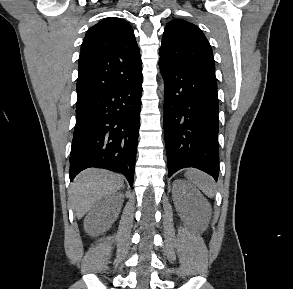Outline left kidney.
I'll list each match as a JSON object with an SVG mask.
<instances>
[{"instance_id": "obj_1", "label": "left kidney", "mask_w": 293, "mask_h": 289, "mask_svg": "<svg viewBox=\"0 0 293 289\" xmlns=\"http://www.w3.org/2000/svg\"><path fill=\"white\" fill-rule=\"evenodd\" d=\"M173 198L176 210L182 220L191 218L199 228L207 225L211 216V206L195 187L184 180H175L173 182Z\"/></svg>"}]
</instances>
